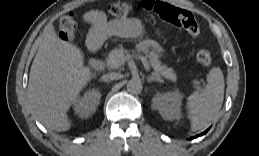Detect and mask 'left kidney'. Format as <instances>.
<instances>
[{"label":"left kidney","mask_w":259,"mask_h":156,"mask_svg":"<svg viewBox=\"0 0 259 156\" xmlns=\"http://www.w3.org/2000/svg\"><path fill=\"white\" fill-rule=\"evenodd\" d=\"M182 95L178 91L157 93L153 98V107L166 120L181 118Z\"/></svg>","instance_id":"1"}]
</instances>
